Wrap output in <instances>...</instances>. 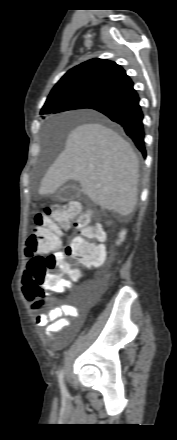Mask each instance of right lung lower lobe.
<instances>
[{
  "mask_svg": "<svg viewBox=\"0 0 177 440\" xmlns=\"http://www.w3.org/2000/svg\"><path fill=\"white\" fill-rule=\"evenodd\" d=\"M139 96L133 83L123 89L94 100L86 108L98 111L121 125L125 133L146 157L144 142L143 112L139 105Z\"/></svg>",
  "mask_w": 177,
  "mask_h": 440,
  "instance_id": "right-lung-lower-lobe-1",
  "label": "right lung lower lobe"
}]
</instances>
